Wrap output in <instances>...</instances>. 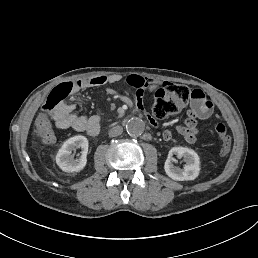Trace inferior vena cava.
Masks as SVG:
<instances>
[{
	"label": "inferior vena cava",
	"mask_w": 258,
	"mask_h": 258,
	"mask_svg": "<svg viewBox=\"0 0 258 258\" xmlns=\"http://www.w3.org/2000/svg\"><path fill=\"white\" fill-rule=\"evenodd\" d=\"M123 132V127L122 126H115L109 131V136L110 137H117L121 135Z\"/></svg>",
	"instance_id": "obj_1"
}]
</instances>
